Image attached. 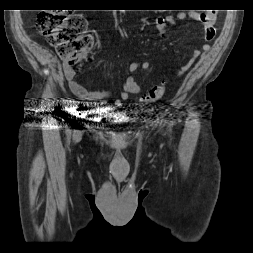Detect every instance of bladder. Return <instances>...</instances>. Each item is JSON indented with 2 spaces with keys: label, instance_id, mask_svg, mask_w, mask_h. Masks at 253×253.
Returning <instances> with one entry per match:
<instances>
[{
  "label": "bladder",
  "instance_id": "bladder-1",
  "mask_svg": "<svg viewBox=\"0 0 253 253\" xmlns=\"http://www.w3.org/2000/svg\"><path fill=\"white\" fill-rule=\"evenodd\" d=\"M117 114H119V112L118 113H115L114 115H112L111 117H115V116H117Z\"/></svg>",
  "mask_w": 253,
  "mask_h": 253
}]
</instances>
